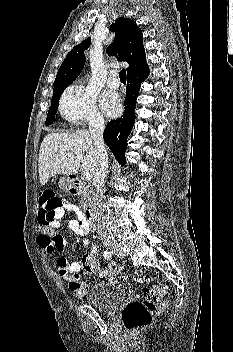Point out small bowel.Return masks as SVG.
Listing matches in <instances>:
<instances>
[{
  "instance_id": "1",
  "label": "small bowel",
  "mask_w": 233,
  "mask_h": 352,
  "mask_svg": "<svg viewBox=\"0 0 233 352\" xmlns=\"http://www.w3.org/2000/svg\"><path fill=\"white\" fill-rule=\"evenodd\" d=\"M39 211L38 220L49 221L53 228H60L62 226L61 220L63 219L65 212L72 211L77 214V220H69L68 226L76 234L85 236L90 232V227L86 221V218L80 211V209L72 204L62 203L56 196L55 191L51 188L45 187L40 190L38 194ZM37 243L45 257H52L56 252L63 250L64 243L57 244L51 241H47L42 237H38ZM85 245L89 248L90 253H96L97 247L95 244L88 240H85ZM55 268L57 273L69 280L70 276L79 273L83 269L82 259L72 263H68L65 258L57 257L55 259Z\"/></svg>"
}]
</instances>
